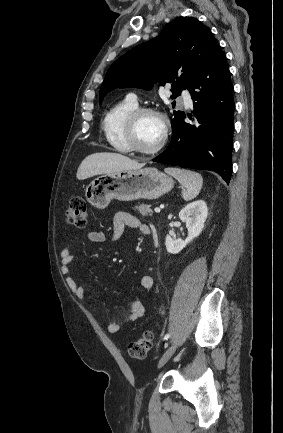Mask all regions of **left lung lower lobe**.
I'll return each mask as SVG.
<instances>
[{
  "label": "left lung lower lobe",
  "instance_id": "0a47b994",
  "mask_svg": "<svg viewBox=\"0 0 283 433\" xmlns=\"http://www.w3.org/2000/svg\"><path fill=\"white\" fill-rule=\"evenodd\" d=\"M187 89L194 101V114H188L192 122L184 121V113L174 119L170 144L152 161L211 170L229 183L235 105L229 68L218 43L199 64Z\"/></svg>",
  "mask_w": 283,
  "mask_h": 433
}]
</instances>
